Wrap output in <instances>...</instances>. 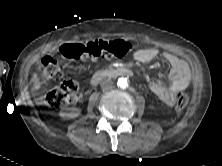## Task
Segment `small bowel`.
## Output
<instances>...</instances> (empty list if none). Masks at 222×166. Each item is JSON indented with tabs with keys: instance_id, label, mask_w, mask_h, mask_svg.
I'll use <instances>...</instances> for the list:
<instances>
[{
	"instance_id": "1",
	"label": "small bowel",
	"mask_w": 222,
	"mask_h": 166,
	"mask_svg": "<svg viewBox=\"0 0 222 166\" xmlns=\"http://www.w3.org/2000/svg\"><path fill=\"white\" fill-rule=\"evenodd\" d=\"M159 55L170 65V83L165 85L160 81L150 84V89L166 105L173 106L176 101V94L185 90L190 83L191 74L187 63L174 54L160 51L156 48L139 49L134 53V59L139 62H150Z\"/></svg>"
}]
</instances>
